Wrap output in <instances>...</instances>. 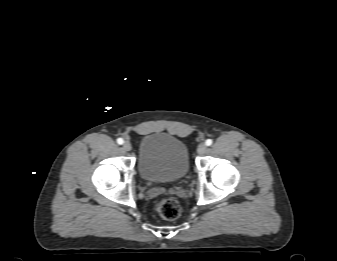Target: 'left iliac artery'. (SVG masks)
Wrapping results in <instances>:
<instances>
[{
    "mask_svg": "<svg viewBox=\"0 0 337 261\" xmlns=\"http://www.w3.org/2000/svg\"><path fill=\"white\" fill-rule=\"evenodd\" d=\"M212 143H213V141H212L211 139H207L206 142H205V144H206L207 146L212 145Z\"/></svg>",
    "mask_w": 337,
    "mask_h": 261,
    "instance_id": "obj_1",
    "label": "left iliac artery"
}]
</instances>
